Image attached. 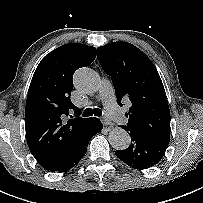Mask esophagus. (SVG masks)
<instances>
[{"label":"esophagus","instance_id":"obj_1","mask_svg":"<svg viewBox=\"0 0 203 203\" xmlns=\"http://www.w3.org/2000/svg\"><path fill=\"white\" fill-rule=\"evenodd\" d=\"M102 123L103 125L105 126H108V127H113V123L106 117H103L102 118Z\"/></svg>","mask_w":203,"mask_h":203}]
</instances>
